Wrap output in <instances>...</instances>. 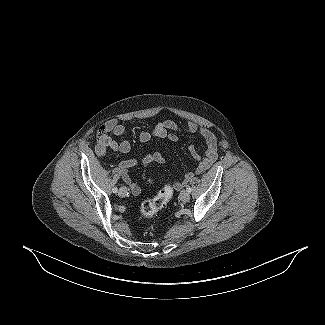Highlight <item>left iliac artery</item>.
I'll return each mask as SVG.
<instances>
[{"label": "left iliac artery", "instance_id": "1", "mask_svg": "<svg viewBox=\"0 0 325 325\" xmlns=\"http://www.w3.org/2000/svg\"><path fill=\"white\" fill-rule=\"evenodd\" d=\"M186 191H187L188 193H190V192L192 191V189H191L190 187H187V188H186Z\"/></svg>", "mask_w": 325, "mask_h": 325}]
</instances>
